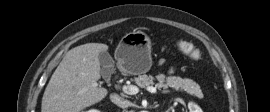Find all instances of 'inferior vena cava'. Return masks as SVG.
Instances as JSON below:
<instances>
[{"label":"inferior vena cava","instance_id":"1","mask_svg":"<svg viewBox=\"0 0 270 112\" xmlns=\"http://www.w3.org/2000/svg\"><path fill=\"white\" fill-rule=\"evenodd\" d=\"M110 99L114 104L121 108H126L130 105L129 100L120 97L118 94H111Z\"/></svg>","mask_w":270,"mask_h":112}]
</instances>
